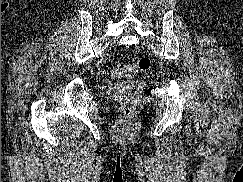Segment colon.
<instances>
[{"label":"colon","instance_id":"obj_1","mask_svg":"<svg viewBox=\"0 0 243 182\" xmlns=\"http://www.w3.org/2000/svg\"><path fill=\"white\" fill-rule=\"evenodd\" d=\"M151 67V60L147 56L138 58L136 61L129 63L124 59H120L110 70L114 78H128L136 72H144ZM121 111L124 117H132L135 106L138 102V97L130 91H123L120 94Z\"/></svg>","mask_w":243,"mask_h":182}]
</instances>
